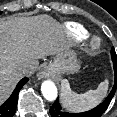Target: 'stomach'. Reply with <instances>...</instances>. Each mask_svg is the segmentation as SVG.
Returning a JSON list of instances; mask_svg holds the SVG:
<instances>
[{
	"label": "stomach",
	"mask_w": 117,
	"mask_h": 117,
	"mask_svg": "<svg viewBox=\"0 0 117 117\" xmlns=\"http://www.w3.org/2000/svg\"><path fill=\"white\" fill-rule=\"evenodd\" d=\"M79 68L76 53L70 48L56 54L53 62L46 66L47 71L53 74H73L78 72Z\"/></svg>",
	"instance_id": "1"
}]
</instances>
